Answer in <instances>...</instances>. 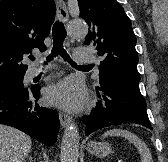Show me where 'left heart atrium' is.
Wrapping results in <instances>:
<instances>
[{
  "label": "left heart atrium",
  "mask_w": 168,
  "mask_h": 162,
  "mask_svg": "<svg viewBox=\"0 0 168 162\" xmlns=\"http://www.w3.org/2000/svg\"><path fill=\"white\" fill-rule=\"evenodd\" d=\"M46 99L53 105L78 110L85 104L87 94L80 80L69 77L49 87Z\"/></svg>",
  "instance_id": "left-heart-atrium-1"
}]
</instances>
